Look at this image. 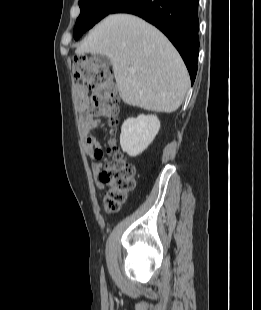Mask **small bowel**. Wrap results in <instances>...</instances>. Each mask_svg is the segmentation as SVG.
Returning <instances> with one entry per match:
<instances>
[{
  "mask_svg": "<svg viewBox=\"0 0 261 310\" xmlns=\"http://www.w3.org/2000/svg\"><path fill=\"white\" fill-rule=\"evenodd\" d=\"M77 95L80 99L81 105L83 106L84 101L88 97V90L84 86L78 85ZM79 123L81 128V134L86 144L87 154L92 160L91 169L93 176L96 180L97 187L102 188L103 184L98 180V177L101 173L102 164L98 162L97 158L95 157V151L97 149H102V146L99 141L92 136V133L97 126V122L90 114L81 112L79 117Z\"/></svg>",
  "mask_w": 261,
  "mask_h": 310,
  "instance_id": "1",
  "label": "small bowel"
}]
</instances>
